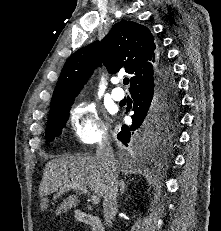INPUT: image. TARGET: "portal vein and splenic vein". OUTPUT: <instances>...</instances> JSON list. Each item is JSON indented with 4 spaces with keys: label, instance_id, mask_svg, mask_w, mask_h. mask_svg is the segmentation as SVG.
I'll return each instance as SVG.
<instances>
[{
    "label": "portal vein and splenic vein",
    "instance_id": "18ae733b",
    "mask_svg": "<svg viewBox=\"0 0 221 231\" xmlns=\"http://www.w3.org/2000/svg\"><path fill=\"white\" fill-rule=\"evenodd\" d=\"M73 190H81L83 193L90 195L89 191L84 186H71ZM64 188L60 189V192H63ZM91 202L93 204H98L100 202V198L97 195H90Z\"/></svg>",
    "mask_w": 221,
    "mask_h": 231
}]
</instances>
